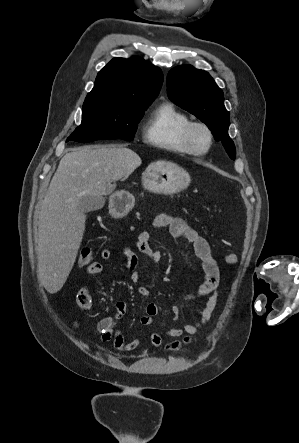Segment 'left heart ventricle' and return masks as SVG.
I'll return each mask as SVG.
<instances>
[{"label":"left heart ventricle","mask_w":299,"mask_h":443,"mask_svg":"<svg viewBox=\"0 0 299 443\" xmlns=\"http://www.w3.org/2000/svg\"><path fill=\"white\" fill-rule=\"evenodd\" d=\"M195 144L198 148L204 149L208 144L207 135L202 130H197L195 133Z\"/></svg>","instance_id":"left-heart-ventricle-1"}]
</instances>
